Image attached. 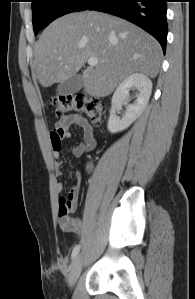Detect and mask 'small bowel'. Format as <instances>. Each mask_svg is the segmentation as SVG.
Wrapping results in <instances>:
<instances>
[{
    "label": "small bowel",
    "mask_w": 195,
    "mask_h": 299,
    "mask_svg": "<svg viewBox=\"0 0 195 299\" xmlns=\"http://www.w3.org/2000/svg\"><path fill=\"white\" fill-rule=\"evenodd\" d=\"M73 125L79 126L83 131V141L72 148L71 153L74 158H80L85 153L92 151L95 148V140L93 136V128L90 123L79 115H68L61 118L55 129L50 133V143L54 149V169L56 177H60L61 161L59 160V148L62 141L70 139L72 136L70 127ZM80 177L77 176V184L74 185L68 192L67 197L64 199V205L69 204L71 206V212L76 209L77 199L80 191L79 186ZM64 189V185L61 181L56 183V191L60 194ZM59 227L61 230L71 233H80L83 230L84 222L81 218L73 217L70 214L67 216L59 215Z\"/></svg>",
    "instance_id": "c3829d8e"
}]
</instances>
